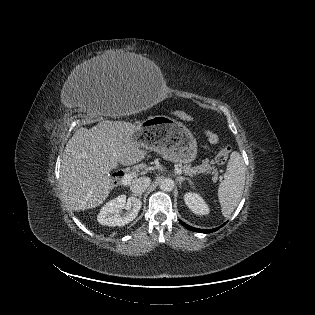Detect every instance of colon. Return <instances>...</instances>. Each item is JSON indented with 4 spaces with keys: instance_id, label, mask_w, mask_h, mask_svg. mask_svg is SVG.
<instances>
[{
    "instance_id": "colon-1",
    "label": "colon",
    "mask_w": 315,
    "mask_h": 315,
    "mask_svg": "<svg viewBox=\"0 0 315 315\" xmlns=\"http://www.w3.org/2000/svg\"><path fill=\"white\" fill-rule=\"evenodd\" d=\"M176 115H177V117H179L180 119H182L184 121H191L192 120V117L184 111H178L176 113ZM229 153H230V148L228 146L223 147L217 153V155L215 157V162L219 165L225 164L229 158Z\"/></svg>"
}]
</instances>
